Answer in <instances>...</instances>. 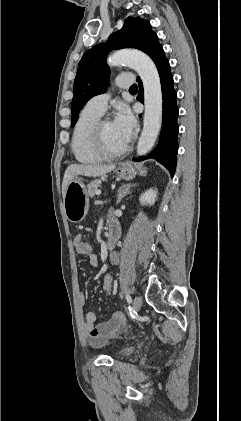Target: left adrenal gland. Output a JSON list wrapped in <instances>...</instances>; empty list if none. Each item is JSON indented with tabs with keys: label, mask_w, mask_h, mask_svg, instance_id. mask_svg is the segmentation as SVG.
<instances>
[{
	"label": "left adrenal gland",
	"mask_w": 241,
	"mask_h": 421,
	"mask_svg": "<svg viewBox=\"0 0 241 421\" xmlns=\"http://www.w3.org/2000/svg\"><path fill=\"white\" fill-rule=\"evenodd\" d=\"M136 184H124L122 186H120L119 190H118V195H117V204L120 203V201L122 200L123 197H125L126 195H128L131 192V188L135 187Z\"/></svg>",
	"instance_id": "a2214340"
}]
</instances>
